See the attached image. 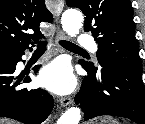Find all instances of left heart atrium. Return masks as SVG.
<instances>
[{
	"mask_svg": "<svg viewBox=\"0 0 145 124\" xmlns=\"http://www.w3.org/2000/svg\"><path fill=\"white\" fill-rule=\"evenodd\" d=\"M39 82L58 94L69 93L75 85L71 69L63 61H55L46 66L40 73Z\"/></svg>",
	"mask_w": 145,
	"mask_h": 124,
	"instance_id": "1",
	"label": "left heart atrium"
}]
</instances>
